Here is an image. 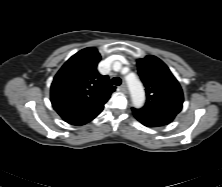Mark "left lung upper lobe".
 <instances>
[{"label": "left lung upper lobe", "instance_id": "1", "mask_svg": "<svg viewBox=\"0 0 222 187\" xmlns=\"http://www.w3.org/2000/svg\"><path fill=\"white\" fill-rule=\"evenodd\" d=\"M139 76L145 86L144 109L179 113L183 92L169 68L157 57L149 55L137 60Z\"/></svg>", "mask_w": 222, "mask_h": 187}]
</instances>
